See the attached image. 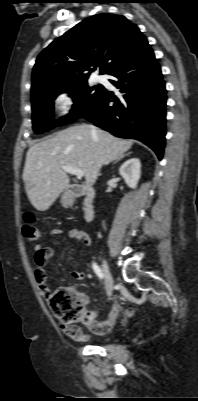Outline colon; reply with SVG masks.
I'll use <instances>...</instances> for the list:
<instances>
[{"instance_id":"5ec220e1","label":"colon","mask_w":198,"mask_h":401,"mask_svg":"<svg viewBox=\"0 0 198 401\" xmlns=\"http://www.w3.org/2000/svg\"><path fill=\"white\" fill-rule=\"evenodd\" d=\"M35 221L31 213L23 216L22 232L31 241L39 240L42 234ZM47 297L52 313L62 321L68 329L67 333L73 338L79 332L77 324L90 327L96 320L93 311L85 306L81 295L70 287H60ZM132 313L133 310H128V314Z\"/></svg>"}]
</instances>
